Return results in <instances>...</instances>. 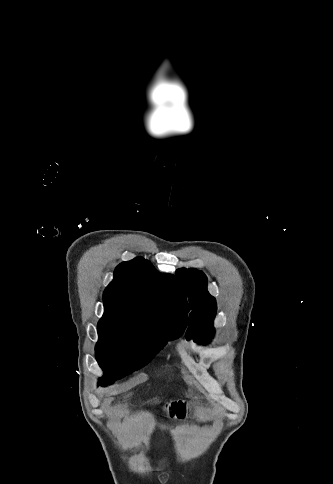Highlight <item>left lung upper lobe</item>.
<instances>
[{
  "instance_id": "1",
  "label": "left lung upper lobe",
  "mask_w": 333,
  "mask_h": 484,
  "mask_svg": "<svg viewBox=\"0 0 333 484\" xmlns=\"http://www.w3.org/2000/svg\"><path fill=\"white\" fill-rule=\"evenodd\" d=\"M176 273L192 309L187 338L198 343L207 342L214 335L213 320L217 313L216 300L207 291V278L194 268H181Z\"/></svg>"
}]
</instances>
